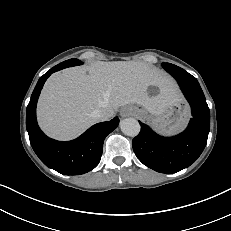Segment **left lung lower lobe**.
Masks as SVG:
<instances>
[{
  "label": "left lung lower lobe",
  "instance_id": "0a47b994",
  "mask_svg": "<svg viewBox=\"0 0 231 231\" xmlns=\"http://www.w3.org/2000/svg\"><path fill=\"white\" fill-rule=\"evenodd\" d=\"M165 70L177 80L193 117L185 131L173 137H162L140 122L141 131L132 145L135 155L144 165L170 174L189 167L201 155L210 130V110L195 77L180 67Z\"/></svg>",
  "mask_w": 231,
  "mask_h": 231
}]
</instances>
